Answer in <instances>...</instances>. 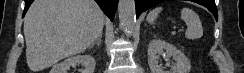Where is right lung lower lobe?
<instances>
[{"label": "right lung lower lobe", "mask_w": 244, "mask_h": 73, "mask_svg": "<svg viewBox=\"0 0 244 73\" xmlns=\"http://www.w3.org/2000/svg\"><path fill=\"white\" fill-rule=\"evenodd\" d=\"M34 0H25V9L23 12V16L26 14L29 6ZM100 8L104 11V13L113 20L114 14L117 8L118 0H95Z\"/></svg>", "instance_id": "1"}]
</instances>
